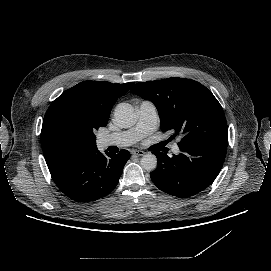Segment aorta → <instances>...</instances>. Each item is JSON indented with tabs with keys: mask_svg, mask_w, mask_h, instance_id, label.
<instances>
[{
	"mask_svg": "<svg viewBox=\"0 0 271 271\" xmlns=\"http://www.w3.org/2000/svg\"><path fill=\"white\" fill-rule=\"evenodd\" d=\"M114 120L122 128H130L137 122V114L134 107L129 103H120L114 111ZM141 166L146 171H153L157 166V158L151 152L144 154L141 158Z\"/></svg>",
	"mask_w": 271,
	"mask_h": 271,
	"instance_id": "obj_1",
	"label": "aorta"
}]
</instances>
